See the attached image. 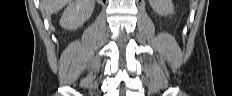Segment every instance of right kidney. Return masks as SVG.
Returning <instances> with one entry per match:
<instances>
[{
	"mask_svg": "<svg viewBox=\"0 0 232 96\" xmlns=\"http://www.w3.org/2000/svg\"><path fill=\"white\" fill-rule=\"evenodd\" d=\"M94 0H73L64 10L60 25L68 30L82 26L93 13Z\"/></svg>",
	"mask_w": 232,
	"mask_h": 96,
	"instance_id": "ca27d5eb",
	"label": "right kidney"
}]
</instances>
